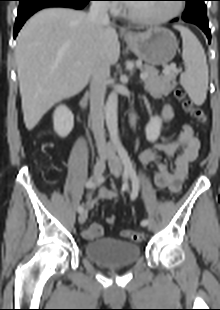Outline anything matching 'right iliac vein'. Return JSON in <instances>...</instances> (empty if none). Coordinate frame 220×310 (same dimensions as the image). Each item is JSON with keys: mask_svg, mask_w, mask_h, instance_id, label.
<instances>
[{"mask_svg": "<svg viewBox=\"0 0 220 310\" xmlns=\"http://www.w3.org/2000/svg\"><path fill=\"white\" fill-rule=\"evenodd\" d=\"M105 161H106V159L102 158L94 166L93 175L91 177V180L94 183L97 182L100 179V177L102 176V173L104 172V169H105ZM87 215H88L87 210H83L80 213V215H79V223L80 224L85 223V221L87 219Z\"/></svg>", "mask_w": 220, "mask_h": 310, "instance_id": "right-iliac-vein-1", "label": "right iliac vein"}]
</instances>
